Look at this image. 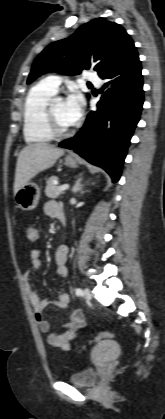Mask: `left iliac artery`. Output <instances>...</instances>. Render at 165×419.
I'll use <instances>...</instances> for the list:
<instances>
[{
    "label": "left iliac artery",
    "mask_w": 165,
    "mask_h": 419,
    "mask_svg": "<svg viewBox=\"0 0 165 419\" xmlns=\"http://www.w3.org/2000/svg\"><path fill=\"white\" fill-rule=\"evenodd\" d=\"M82 290L80 289V288H76V290H75V294L77 295V296H81L82 295Z\"/></svg>",
    "instance_id": "44dca946"
}]
</instances>
